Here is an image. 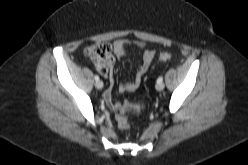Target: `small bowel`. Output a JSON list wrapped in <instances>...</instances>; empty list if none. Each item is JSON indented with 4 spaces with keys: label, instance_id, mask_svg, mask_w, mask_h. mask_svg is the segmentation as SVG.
Wrapping results in <instances>:
<instances>
[{
    "label": "small bowel",
    "instance_id": "obj_1",
    "mask_svg": "<svg viewBox=\"0 0 248 165\" xmlns=\"http://www.w3.org/2000/svg\"><path fill=\"white\" fill-rule=\"evenodd\" d=\"M128 46H134L143 50L142 61L136 72L135 78L131 82H124L119 84L118 91L120 93L132 92L139 87L142 78L148 71L155 55L154 50L148 48L146 43L142 41L117 40L112 44L113 51L118 57H121L123 55L125 49ZM103 74L107 77L109 82V86L105 92V99L110 102L112 98V88L115 84L114 72L112 67L108 71L103 72Z\"/></svg>",
    "mask_w": 248,
    "mask_h": 165
}]
</instances>
